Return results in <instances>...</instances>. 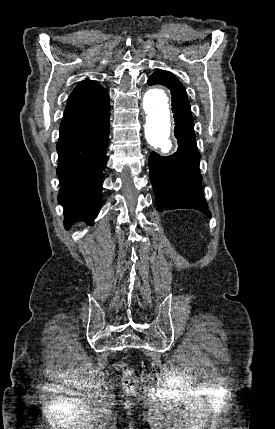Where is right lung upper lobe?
Segmentation results:
<instances>
[{"label": "right lung upper lobe", "instance_id": "1", "mask_svg": "<svg viewBox=\"0 0 275 429\" xmlns=\"http://www.w3.org/2000/svg\"><path fill=\"white\" fill-rule=\"evenodd\" d=\"M110 109L107 91L96 82L81 81L68 98L60 128L93 120Z\"/></svg>", "mask_w": 275, "mask_h": 429}]
</instances>
